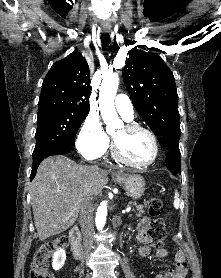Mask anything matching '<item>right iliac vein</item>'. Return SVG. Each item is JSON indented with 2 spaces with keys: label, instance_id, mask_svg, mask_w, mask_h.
<instances>
[{
  "label": "right iliac vein",
  "instance_id": "obj_1",
  "mask_svg": "<svg viewBox=\"0 0 221 278\" xmlns=\"http://www.w3.org/2000/svg\"><path fill=\"white\" fill-rule=\"evenodd\" d=\"M85 278H91L89 275H87Z\"/></svg>",
  "mask_w": 221,
  "mask_h": 278
}]
</instances>
